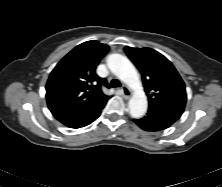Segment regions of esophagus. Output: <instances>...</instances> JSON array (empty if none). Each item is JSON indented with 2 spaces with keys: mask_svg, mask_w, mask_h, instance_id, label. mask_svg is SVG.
<instances>
[{
  "mask_svg": "<svg viewBox=\"0 0 222 187\" xmlns=\"http://www.w3.org/2000/svg\"><path fill=\"white\" fill-rule=\"evenodd\" d=\"M121 89L125 98H129L131 96V91L127 86L123 85Z\"/></svg>",
  "mask_w": 222,
  "mask_h": 187,
  "instance_id": "obj_1",
  "label": "esophagus"
}]
</instances>
